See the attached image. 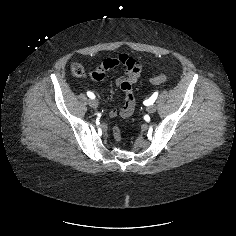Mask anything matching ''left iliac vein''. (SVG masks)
Masks as SVG:
<instances>
[{"instance_id":"1","label":"left iliac vein","mask_w":236,"mask_h":236,"mask_svg":"<svg viewBox=\"0 0 236 236\" xmlns=\"http://www.w3.org/2000/svg\"><path fill=\"white\" fill-rule=\"evenodd\" d=\"M157 107L155 104H151V105H148V107L146 108L147 112L152 114L156 111Z\"/></svg>"}]
</instances>
